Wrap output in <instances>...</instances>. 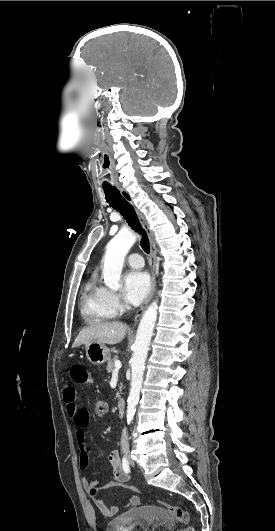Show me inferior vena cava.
I'll use <instances>...</instances> for the list:
<instances>
[{"mask_svg":"<svg viewBox=\"0 0 275 531\" xmlns=\"http://www.w3.org/2000/svg\"><path fill=\"white\" fill-rule=\"evenodd\" d=\"M120 443H121L122 449H128V435H127L126 429H122Z\"/></svg>","mask_w":275,"mask_h":531,"instance_id":"1","label":"inferior vena cava"}]
</instances>
